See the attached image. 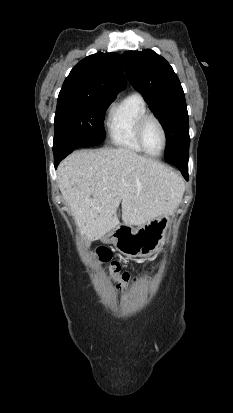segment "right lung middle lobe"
<instances>
[{
    "label": "right lung middle lobe",
    "mask_w": 233,
    "mask_h": 413,
    "mask_svg": "<svg viewBox=\"0 0 233 413\" xmlns=\"http://www.w3.org/2000/svg\"><path fill=\"white\" fill-rule=\"evenodd\" d=\"M114 99L83 93H59L53 152L100 144L105 139L104 113Z\"/></svg>",
    "instance_id": "1"
}]
</instances>
